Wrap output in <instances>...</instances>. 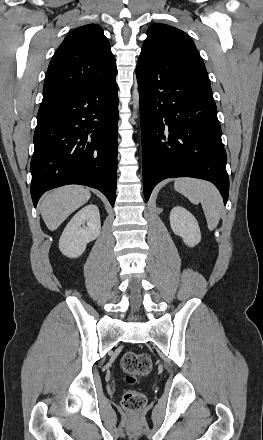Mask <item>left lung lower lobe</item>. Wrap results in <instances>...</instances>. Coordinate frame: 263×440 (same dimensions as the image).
<instances>
[{
	"label": "left lung lower lobe",
	"mask_w": 263,
	"mask_h": 440,
	"mask_svg": "<svg viewBox=\"0 0 263 440\" xmlns=\"http://www.w3.org/2000/svg\"><path fill=\"white\" fill-rule=\"evenodd\" d=\"M143 151V189L173 177L212 182L228 200L227 156L211 87L172 65H137Z\"/></svg>",
	"instance_id": "obj_1"
}]
</instances>
